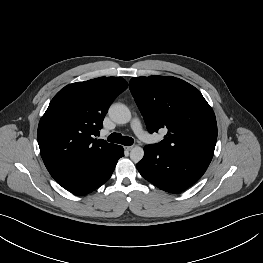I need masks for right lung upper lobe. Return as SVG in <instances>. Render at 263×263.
I'll return each instance as SVG.
<instances>
[{"instance_id":"cb5924a9","label":"right lung upper lobe","mask_w":263,"mask_h":263,"mask_svg":"<svg viewBox=\"0 0 263 263\" xmlns=\"http://www.w3.org/2000/svg\"><path fill=\"white\" fill-rule=\"evenodd\" d=\"M128 87L121 77H103L65 86L51 100L38 126L44 164L62 183L111 153L118 145L94 139L117 95Z\"/></svg>"}]
</instances>
